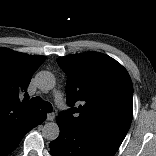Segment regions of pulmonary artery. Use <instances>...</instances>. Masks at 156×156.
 <instances>
[{
	"label": "pulmonary artery",
	"instance_id": "pulmonary-artery-1",
	"mask_svg": "<svg viewBox=\"0 0 156 156\" xmlns=\"http://www.w3.org/2000/svg\"><path fill=\"white\" fill-rule=\"evenodd\" d=\"M56 104L60 108L64 107L63 99L60 96L56 98Z\"/></svg>",
	"mask_w": 156,
	"mask_h": 156
}]
</instances>
